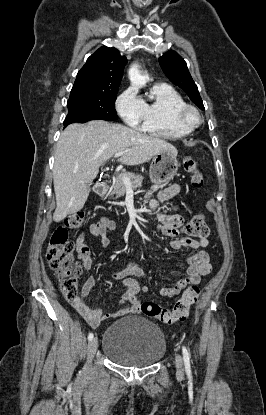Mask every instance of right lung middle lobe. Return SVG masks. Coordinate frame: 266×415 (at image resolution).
<instances>
[{
    "instance_id": "obj_1",
    "label": "right lung middle lobe",
    "mask_w": 266,
    "mask_h": 415,
    "mask_svg": "<svg viewBox=\"0 0 266 415\" xmlns=\"http://www.w3.org/2000/svg\"><path fill=\"white\" fill-rule=\"evenodd\" d=\"M117 92L71 93L67 102L68 115L64 120V127L71 123H85L90 120H117L114 106Z\"/></svg>"
}]
</instances>
